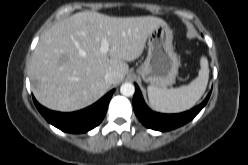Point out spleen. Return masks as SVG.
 Wrapping results in <instances>:
<instances>
[{
    "label": "spleen",
    "mask_w": 248,
    "mask_h": 165,
    "mask_svg": "<svg viewBox=\"0 0 248 165\" xmlns=\"http://www.w3.org/2000/svg\"><path fill=\"white\" fill-rule=\"evenodd\" d=\"M198 77L189 85L174 89H162L152 85L147 88L151 107L163 113H179L192 108L204 94L208 79L209 67L205 56L200 59Z\"/></svg>",
    "instance_id": "1"
}]
</instances>
